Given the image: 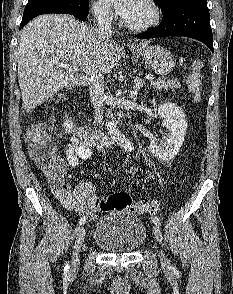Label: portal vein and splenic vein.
<instances>
[{
    "label": "portal vein and splenic vein",
    "instance_id": "1",
    "mask_svg": "<svg viewBox=\"0 0 233 294\" xmlns=\"http://www.w3.org/2000/svg\"><path fill=\"white\" fill-rule=\"evenodd\" d=\"M55 63H57L60 67H63V68L68 69L70 71H75V72L79 71V68L76 67V66H71V65H69L67 63L57 62V61H55ZM145 78L148 79V80H153L154 79V77L151 76V75H146Z\"/></svg>",
    "mask_w": 233,
    "mask_h": 294
}]
</instances>
